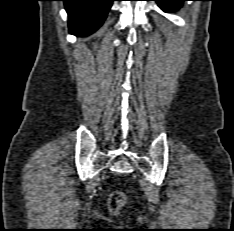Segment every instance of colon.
Returning a JSON list of instances; mask_svg holds the SVG:
<instances>
[{
  "label": "colon",
  "instance_id": "colon-1",
  "mask_svg": "<svg viewBox=\"0 0 234 231\" xmlns=\"http://www.w3.org/2000/svg\"><path fill=\"white\" fill-rule=\"evenodd\" d=\"M126 197L122 192H114L108 202L109 209L117 213L125 204Z\"/></svg>",
  "mask_w": 234,
  "mask_h": 231
}]
</instances>
